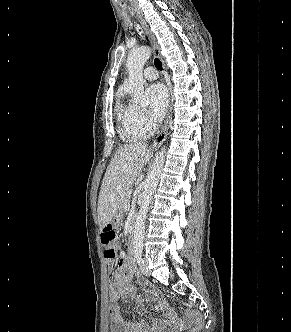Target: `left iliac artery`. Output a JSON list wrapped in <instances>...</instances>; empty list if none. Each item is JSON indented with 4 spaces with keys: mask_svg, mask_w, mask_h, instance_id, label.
Masks as SVG:
<instances>
[{
    "mask_svg": "<svg viewBox=\"0 0 291 332\" xmlns=\"http://www.w3.org/2000/svg\"><path fill=\"white\" fill-rule=\"evenodd\" d=\"M135 257H136L137 263H138L139 265H142L143 262H144L142 256H141L140 254H137Z\"/></svg>",
    "mask_w": 291,
    "mask_h": 332,
    "instance_id": "44dca946",
    "label": "left iliac artery"
}]
</instances>
